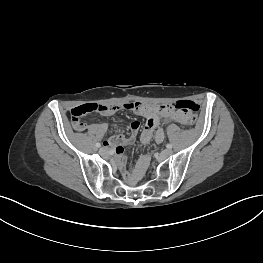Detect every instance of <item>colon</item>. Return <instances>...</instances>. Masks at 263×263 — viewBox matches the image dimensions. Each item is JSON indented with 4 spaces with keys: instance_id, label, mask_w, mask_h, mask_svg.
I'll use <instances>...</instances> for the list:
<instances>
[{
    "instance_id": "1",
    "label": "colon",
    "mask_w": 263,
    "mask_h": 263,
    "mask_svg": "<svg viewBox=\"0 0 263 263\" xmlns=\"http://www.w3.org/2000/svg\"><path fill=\"white\" fill-rule=\"evenodd\" d=\"M174 108L178 111L189 115V122L192 123L197 118V112L199 110V105L192 100H179L174 104ZM104 106L96 103H88L80 105L71 111L73 125L76 130H84V124L81 122V119L89 114L94 112H102Z\"/></svg>"
}]
</instances>
